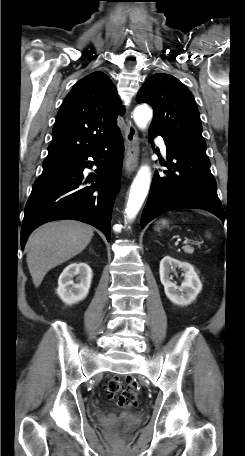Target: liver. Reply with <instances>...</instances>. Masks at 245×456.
I'll use <instances>...</instances> for the list:
<instances>
[{
    "mask_svg": "<svg viewBox=\"0 0 245 456\" xmlns=\"http://www.w3.org/2000/svg\"><path fill=\"white\" fill-rule=\"evenodd\" d=\"M94 230L74 220L46 223L28 238L27 265L33 284L39 287L49 270L81 253L90 243Z\"/></svg>",
    "mask_w": 245,
    "mask_h": 456,
    "instance_id": "6515ba94",
    "label": "liver"
}]
</instances>
